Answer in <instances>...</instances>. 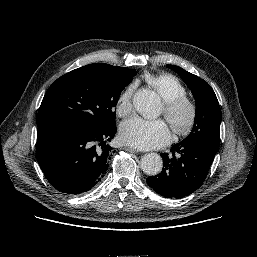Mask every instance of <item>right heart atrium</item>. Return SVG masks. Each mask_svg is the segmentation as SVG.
I'll list each match as a JSON object with an SVG mask.
<instances>
[{"instance_id":"d8ad5b80","label":"right heart atrium","mask_w":257,"mask_h":257,"mask_svg":"<svg viewBox=\"0 0 257 257\" xmlns=\"http://www.w3.org/2000/svg\"><path fill=\"white\" fill-rule=\"evenodd\" d=\"M134 84L128 85L119 95L116 111L120 117H127L133 111L132 97L134 93Z\"/></svg>"}]
</instances>
